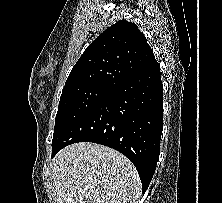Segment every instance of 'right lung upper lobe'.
Instances as JSON below:
<instances>
[{"mask_svg": "<svg viewBox=\"0 0 222 203\" xmlns=\"http://www.w3.org/2000/svg\"><path fill=\"white\" fill-rule=\"evenodd\" d=\"M155 61L153 50L138 26L121 20L87 47L63 89L97 86L113 90Z\"/></svg>", "mask_w": 222, "mask_h": 203, "instance_id": "obj_1", "label": "right lung upper lobe"}]
</instances>
